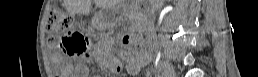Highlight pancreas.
Returning <instances> with one entry per match:
<instances>
[{"instance_id":"pancreas-1","label":"pancreas","mask_w":258,"mask_h":77,"mask_svg":"<svg viewBox=\"0 0 258 77\" xmlns=\"http://www.w3.org/2000/svg\"><path fill=\"white\" fill-rule=\"evenodd\" d=\"M130 12H132V13H133V10H132V11H130ZM135 15H138V14H135Z\"/></svg>"}]
</instances>
